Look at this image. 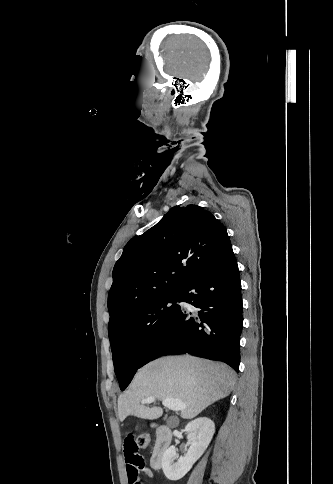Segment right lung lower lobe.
I'll list each match as a JSON object with an SVG mask.
<instances>
[{
  "label": "right lung lower lobe",
  "mask_w": 333,
  "mask_h": 484,
  "mask_svg": "<svg viewBox=\"0 0 333 484\" xmlns=\"http://www.w3.org/2000/svg\"><path fill=\"white\" fill-rule=\"evenodd\" d=\"M166 326L148 346L138 368L164 355L189 353L224 361L236 372L242 331L241 282L231 245L185 286Z\"/></svg>",
  "instance_id": "obj_1"
}]
</instances>
